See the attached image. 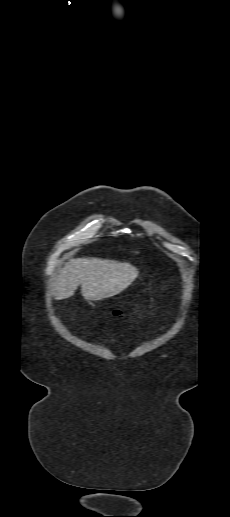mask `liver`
Segmentation results:
<instances>
[{
  "instance_id": "6515ba94",
  "label": "liver",
  "mask_w": 230,
  "mask_h": 517,
  "mask_svg": "<svg viewBox=\"0 0 230 517\" xmlns=\"http://www.w3.org/2000/svg\"><path fill=\"white\" fill-rule=\"evenodd\" d=\"M138 269L127 262L99 258L70 259L57 276L55 299L74 295L81 284L87 301L113 297L126 289L138 276Z\"/></svg>"
}]
</instances>
